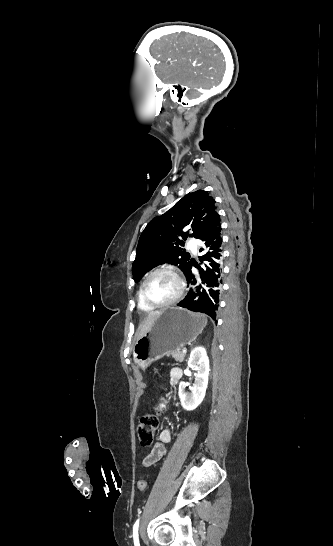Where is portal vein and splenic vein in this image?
Here are the masks:
<instances>
[{"instance_id": "1", "label": "portal vein and splenic vein", "mask_w": 333, "mask_h": 546, "mask_svg": "<svg viewBox=\"0 0 333 546\" xmlns=\"http://www.w3.org/2000/svg\"><path fill=\"white\" fill-rule=\"evenodd\" d=\"M182 352H183V353H186V352H187V349H183Z\"/></svg>"}]
</instances>
